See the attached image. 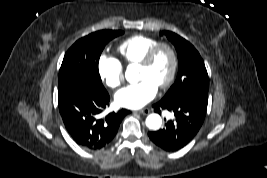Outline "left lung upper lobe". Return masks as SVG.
Wrapping results in <instances>:
<instances>
[{"instance_id": "left-lung-upper-lobe-1", "label": "left lung upper lobe", "mask_w": 267, "mask_h": 178, "mask_svg": "<svg viewBox=\"0 0 267 178\" xmlns=\"http://www.w3.org/2000/svg\"><path fill=\"white\" fill-rule=\"evenodd\" d=\"M163 34L174 44L179 63L176 81L163 99L176 100L188 95L208 99L209 78L198 51L187 40L173 32H161V35Z\"/></svg>"}]
</instances>
